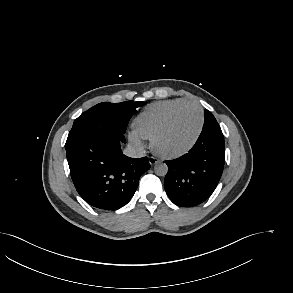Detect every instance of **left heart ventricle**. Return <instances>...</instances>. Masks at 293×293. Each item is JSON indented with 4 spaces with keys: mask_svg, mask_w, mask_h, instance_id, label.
<instances>
[{
    "mask_svg": "<svg viewBox=\"0 0 293 293\" xmlns=\"http://www.w3.org/2000/svg\"><path fill=\"white\" fill-rule=\"evenodd\" d=\"M200 125V113L194 107H186L173 119L159 139L160 149L175 152L186 147L194 138Z\"/></svg>",
    "mask_w": 293,
    "mask_h": 293,
    "instance_id": "b2bd125f",
    "label": "left heart ventricle"
}]
</instances>
